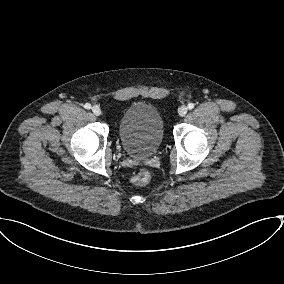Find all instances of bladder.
Returning <instances> with one entry per match:
<instances>
[{"mask_svg": "<svg viewBox=\"0 0 284 284\" xmlns=\"http://www.w3.org/2000/svg\"><path fill=\"white\" fill-rule=\"evenodd\" d=\"M118 134L125 152L137 159L152 156L162 143L164 125L159 111L145 103L129 106L121 115Z\"/></svg>", "mask_w": 284, "mask_h": 284, "instance_id": "31cf9c89", "label": "bladder"}]
</instances>
